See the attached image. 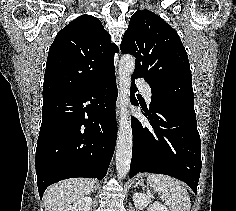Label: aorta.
Here are the masks:
<instances>
[{
	"label": "aorta",
	"mask_w": 236,
	"mask_h": 211,
	"mask_svg": "<svg viewBox=\"0 0 236 211\" xmlns=\"http://www.w3.org/2000/svg\"><path fill=\"white\" fill-rule=\"evenodd\" d=\"M135 68V57L123 55L119 62L120 120L116 147V169L118 177L123 178L130 170L133 135L131 118L128 110L130 103L131 77Z\"/></svg>",
	"instance_id": "1"
}]
</instances>
